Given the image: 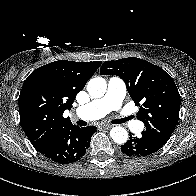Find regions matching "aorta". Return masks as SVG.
Returning <instances> with one entry per match:
<instances>
[{
    "label": "aorta",
    "mask_w": 196,
    "mask_h": 196,
    "mask_svg": "<svg viewBox=\"0 0 196 196\" xmlns=\"http://www.w3.org/2000/svg\"><path fill=\"white\" fill-rule=\"evenodd\" d=\"M106 89V81L101 77L93 78L87 84V91L94 98L102 97L106 93ZM110 136L118 144H124L128 139L127 130L120 126L113 127Z\"/></svg>",
    "instance_id": "762f6f07"
}]
</instances>
